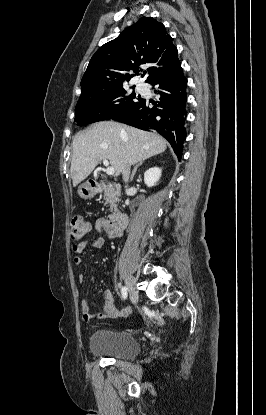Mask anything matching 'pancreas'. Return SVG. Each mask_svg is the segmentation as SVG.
<instances>
[{"label":"pancreas","instance_id":"cf45deb5","mask_svg":"<svg viewBox=\"0 0 266 415\" xmlns=\"http://www.w3.org/2000/svg\"><path fill=\"white\" fill-rule=\"evenodd\" d=\"M118 196V189L114 188L112 185L108 184L104 187V198L106 200V204L110 207V212H117L116 203L119 201Z\"/></svg>","mask_w":266,"mask_h":415}]
</instances>
